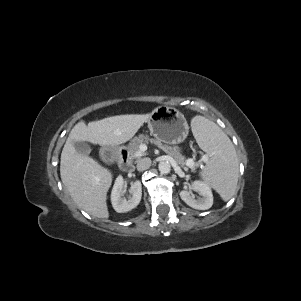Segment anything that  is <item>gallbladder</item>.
<instances>
[{
    "label": "gallbladder",
    "mask_w": 301,
    "mask_h": 301,
    "mask_svg": "<svg viewBox=\"0 0 301 301\" xmlns=\"http://www.w3.org/2000/svg\"><path fill=\"white\" fill-rule=\"evenodd\" d=\"M77 153L88 156L91 152L90 146L85 142H74L73 143Z\"/></svg>",
    "instance_id": "gallbladder-1"
}]
</instances>
